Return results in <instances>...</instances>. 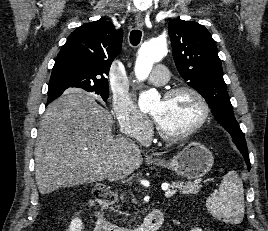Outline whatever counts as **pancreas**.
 I'll return each instance as SVG.
<instances>
[{
    "mask_svg": "<svg viewBox=\"0 0 268 231\" xmlns=\"http://www.w3.org/2000/svg\"><path fill=\"white\" fill-rule=\"evenodd\" d=\"M171 188H177L180 194L189 195V194H197L201 188V184L198 182H172ZM114 202H118L117 198H115Z\"/></svg>",
    "mask_w": 268,
    "mask_h": 231,
    "instance_id": "1",
    "label": "pancreas"
}]
</instances>
